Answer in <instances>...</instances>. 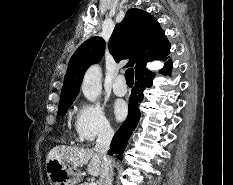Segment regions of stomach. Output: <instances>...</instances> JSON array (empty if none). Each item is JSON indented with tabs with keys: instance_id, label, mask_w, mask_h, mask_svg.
<instances>
[{
	"instance_id": "obj_1",
	"label": "stomach",
	"mask_w": 233,
	"mask_h": 185,
	"mask_svg": "<svg viewBox=\"0 0 233 185\" xmlns=\"http://www.w3.org/2000/svg\"><path fill=\"white\" fill-rule=\"evenodd\" d=\"M46 170L48 179L53 185H76L80 180L79 171L61 160H48Z\"/></svg>"
}]
</instances>
